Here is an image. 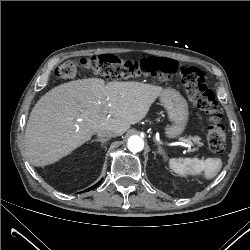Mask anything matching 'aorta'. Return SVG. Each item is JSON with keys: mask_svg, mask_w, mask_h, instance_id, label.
Listing matches in <instances>:
<instances>
[{"mask_svg": "<svg viewBox=\"0 0 250 250\" xmlns=\"http://www.w3.org/2000/svg\"><path fill=\"white\" fill-rule=\"evenodd\" d=\"M128 148L132 152H139L144 148V141L139 136H131L128 139Z\"/></svg>", "mask_w": 250, "mask_h": 250, "instance_id": "aorta-1", "label": "aorta"}]
</instances>
